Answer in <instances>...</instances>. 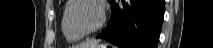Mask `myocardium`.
<instances>
[{
  "label": "myocardium",
  "mask_w": 213,
  "mask_h": 48,
  "mask_svg": "<svg viewBox=\"0 0 213 48\" xmlns=\"http://www.w3.org/2000/svg\"><path fill=\"white\" fill-rule=\"evenodd\" d=\"M82 1H88V2L95 3L100 9V13H101L100 21L97 24V26L94 27L93 29L81 30L78 27H76L74 25V23L72 22L71 13L73 11V8L76 6V4H78L79 2H82ZM65 21H66V24H67L69 30L73 34L80 36V37H86V36L93 35V34L97 33L105 24V21H106L105 5L100 0H70L68 3V6H67L66 13H65Z\"/></svg>",
  "instance_id": "f54148a6"
}]
</instances>
